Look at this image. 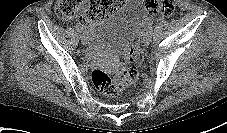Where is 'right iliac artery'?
<instances>
[{
	"label": "right iliac artery",
	"instance_id": "obj_1",
	"mask_svg": "<svg viewBox=\"0 0 227 133\" xmlns=\"http://www.w3.org/2000/svg\"><path fill=\"white\" fill-rule=\"evenodd\" d=\"M75 28H76V31H77L78 33H80V34H82V33L84 32L83 29H82V27L79 26V25H77Z\"/></svg>",
	"mask_w": 227,
	"mask_h": 133
}]
</instances>
